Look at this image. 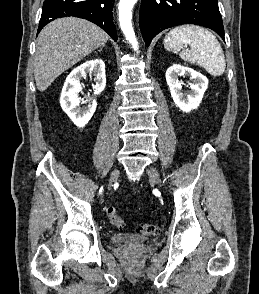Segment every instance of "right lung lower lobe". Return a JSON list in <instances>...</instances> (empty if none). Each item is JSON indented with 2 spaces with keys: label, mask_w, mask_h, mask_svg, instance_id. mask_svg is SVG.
Instances as JSON below:
<instances>
[{
  "label": "right lung lower lobe",
  "mask_w": 259,
  "mask_h": 294,
  "mask_svg": "<svg viewBox=\"0 0 259 294\" xmlns=\"http://www.w3.org/2000/svg\"><path fill=\"white\" fill-rule=\"evenodd\" d=\"M113 5L114 0H45L38 32L57 18L75 16L97 24L117 41Z\"/></svg>",
  "instance_id": "98d812e1"
}]
</instances>
